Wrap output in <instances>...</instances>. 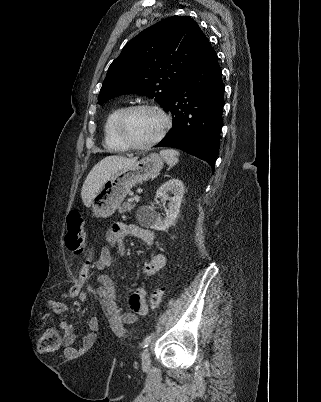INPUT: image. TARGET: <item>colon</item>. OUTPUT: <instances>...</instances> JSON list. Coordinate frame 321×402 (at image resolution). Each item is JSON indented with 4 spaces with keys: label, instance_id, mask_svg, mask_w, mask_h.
Wrapping results in <instances>:
<instances>
[{
    "label": "colon",
    "instance_id": "colon-1",
    "mask_svg": "<svg viewBox=\"0 0 321 402\" xmlns=\"http://www.w3.org/2000/svg\"><path fill=\"white\" fill-rule=\"evenodd\" d=\"M67 232L65 235L66 247L76 256L83 258L79 274L71 285L68 293L70 296H77L78 294L85 293V284L89 275L90 266L93 260V249L88 246L86 242V233L84 229L83 215L77 211H71L66 217ZM163 298V291L156 289L152 292L149 299V306L157 308ZM131 308L137 313H144L146 311L145 300L138 302H131ZM62 343L60 332L55 327H48L39 338V350L44 353H50L58 350Z\"/></svg>",
    "mask_w": 321,
    "mask_h": 402
}]
</instances>
